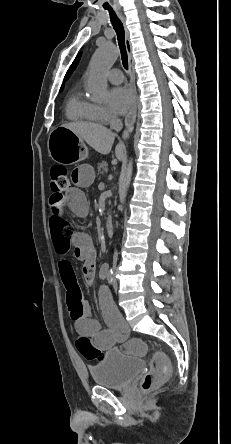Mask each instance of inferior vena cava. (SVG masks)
Segmentation results:
<instances>
[{"label":"inferior vena cava","instance_id":"602c4592","mask_svg":"<svg viewBox=\"0 0 231 444\" xmlns=\"http://www.w3.org/2000/svg\"><path fill=\"white\" fill-rule=\"evenodd\" d=\"M123 127V123L121 121V119L117 118V117H113L111 120V128L115 129L117 131H120Z\"/></svg>","mask_w":231,"mask_h":444}]
</instances>
